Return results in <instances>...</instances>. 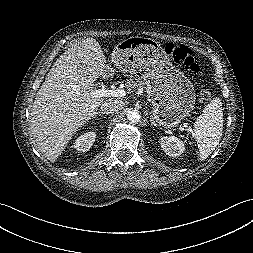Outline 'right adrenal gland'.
Masks as SVG:
<instances>
[{"instance_id": "1", "label": "right adrenal gland", "mask_w": 253, "mask_h": 253, "mask_svg": "<svg viewBox=\"0 0 253 253\" xmlns=\"http://www.w3.org/2000/svg\"><path fill=\"white\" fill-rule=\"evenodd\" d=\"M105 113L103 111H98L96 112V114L94 115L93 118H96L98 115H104Z\"/></svg>"}]
</instances>
